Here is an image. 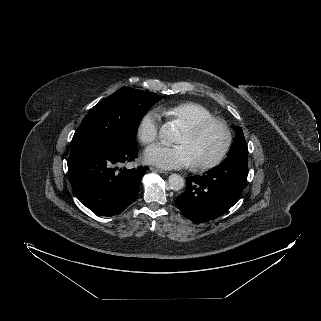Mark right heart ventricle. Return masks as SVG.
Returning a JSON list of instances; mask_svg holds the SVG:
<instances>
[{
    "label": "right heart ventricle",
    "mask_w": 321,
    "mask_h": 321,
    "mask_svg": "<svg viewBox=\"0 0 321 321\" xmlns=\"http://www.w3.org/2000/svg\"><path fill=\"white\" fill-rule=\"evenodd\" d=\"M163 113L173 120L180 121L185 127L198 121L213 117V113L197 102H184L164 108Z\"/></svg>",
    "instance_id": "e07e8e85"
}]
</instances>
